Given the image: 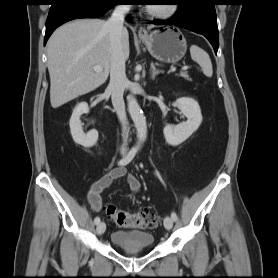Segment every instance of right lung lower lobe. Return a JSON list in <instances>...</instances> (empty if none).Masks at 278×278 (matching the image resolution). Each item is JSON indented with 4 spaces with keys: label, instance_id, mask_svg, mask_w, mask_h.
<instances>
[{
    "label": "right lung lower lobe",
    "instance_id": "obj_1",
    "mask_svg": "<svg viewBox=\"0 0 278 278\" xmlns=\"http://www.w3.org/2000/svg\"><path fill=\"white\" fill-rule=\"evenodd\" d=\"M122 0H54L46 20L44 45L61 24L78 18H98Z\"/></svg>",
    "mask_w": 278,
    "mask_h": 278
}]
</instances>
